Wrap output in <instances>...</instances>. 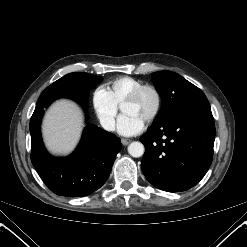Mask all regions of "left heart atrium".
Here are the masks:
<instances>
[{
  "mask_svg": "<svg viewBox=\"0 0 247 247\" xmlns=\"http://www.w3.org/2000/svg\"><path fill=\"white\" fill-rule=\"evenodd\" d=\"M144 128V120L137 115L124 113L117 122V130L123 136H133Z\"/></svg>",
  "mask_w": 247,
  "mask_h": 247,
  "instance_id": "39dd6f15",
  "label": "left heart atrium"
}]
</instances>
